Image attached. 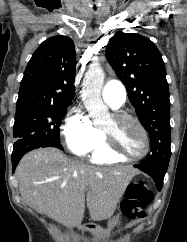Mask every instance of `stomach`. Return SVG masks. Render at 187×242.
I'll return each mask as SVG.
<instances>
[{"instance_id":"stomach-1","label":"stomach","mask_w":187,"mask_h":242,"mask_svg":"<svg viewBox=\"0 0 187 242\" xmlns=\"http://www.w3.org/2000/svg\"><path fill=\"white\" fill-rule=\"evenodd\" d=\"M120 223V215H116L109 219L108 228L103 229L100 226H94L92 228V233L97 240V242H104L106 238L109 237L111 230Z\"/></svg>"}]
</instances>
